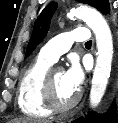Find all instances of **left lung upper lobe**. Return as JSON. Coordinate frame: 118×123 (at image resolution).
Listing matches in <instances>:
<instances>
[{
    "label": "left lung upper lobe",
    "mask_w": 118,
    "mask_h": 123,
    "mask_svg": "<svg viewBox=\"0 0 118 123\" xmlns=\"http://www.w3.org/2000/svg\"><path fill=\"white\" fill-rule=\"evenodd\" d=\"M81 3H88L93 7L97 8L101 13L108 14L109 13V3L108 0H78ZM56 2H51L48 4L37 20L34 23V29L32 32V36L27 46L26 56L30 55V53L36 48V46L43 40L46 36L51 18L57 8Z\"/></svg>",
    "instance_id": "obj_1"
}]
</instances>
